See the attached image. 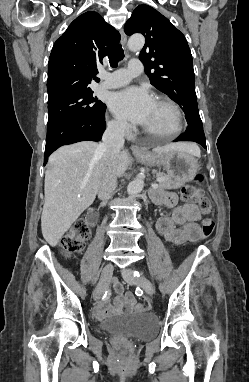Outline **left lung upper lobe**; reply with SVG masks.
Here are the masks:
<instances>
[{
	"instance_id": "left-lung-upper-lobe-1",
	"label": "left lung upper lobe",
	"mask_w": 249,
	"mask_h": 382,
	"mask_svg": "<svg viewBox=\"0 0 249 382\" xmlns=\"http://www.w3.org/2000/svg\"><path fill=\"white\" fill-rule=\"evenodd\" d=\"M127 35L146 39L139 59L150 82L179 104L188 127H203L197 106L192 55L185 36L162 14L139 5L124 26Z\"/></svg>"
}]
</instances>
